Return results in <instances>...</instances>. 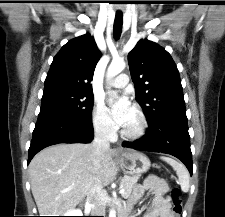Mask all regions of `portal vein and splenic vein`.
I'll return each instance as SVG.
<instances>
[{"instance_id": "obj_1", "label": "portal vein and splenic vein", "mask_w": 225, "mask_h": 217, "mask_svg": "<svg viewBox=\"0 0 225 217\" xmlns=\"http://www.w3.org/2000/svg\"><path fill=\"white\" fill-rule=\"evenodd\" d=\"M124 192H125V189L121 187L119 193L122 194V193H124Z\"/></svg>"}]
</instances>
